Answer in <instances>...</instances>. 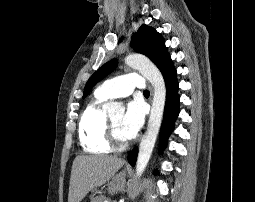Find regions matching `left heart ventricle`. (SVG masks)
<instances>
[{"label":"left heart ventricle","instance_id":"left-heart-ventricle-1","mask_svg":"<svg viewBox=\"0 0 255 202\" xmlns=\"http://www.w3.org/2000/svg\"><path fill=\"white\" fill-rule=\"evenodd\" d=\"M123 117H124L123 113H119L112 116L110 119L114 124L118 137L122 140H127L130 139V137L127 135L123 128Z\"/></svg>","mask_w":255,"mask_h":202}]
</instances>
